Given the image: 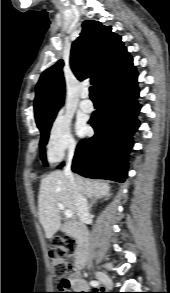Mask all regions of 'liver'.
I'll use <instances>...</instances> for the list:
<instances>
[{
  "instance_id": "1",
  "label": "liver",
  "mask_w": 170,
  "mask_h": 293,
  "mask_svg": "<svg viewBox=\"0 0 170 293\" xmlns=\"http://www.w3.org/2000/svg\"><path fill=\"white\" fill-rule=\"evenodd\" d=\"M79 191L89 198H101L110 191L109 184L74 176ZM57 203L77 215L74 192L64 171H54L41 180L38 197V215L45 230L46 238H51L61 226L60 209Z\"/></svg>"
}]
</instances>
